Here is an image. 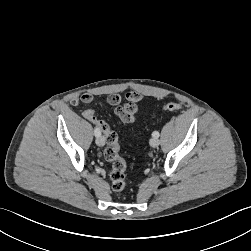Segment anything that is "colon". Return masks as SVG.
Returning a JSON list of instances; mask_svg holds the SVG:
<instances>
[{
	"label": "colon",
	"instance_id": "5ec220e1",
	"mask_svg": "<svg viewBox=\"0 0 251 251\" xmlns=\"http://www.w3.org/2000/svg\"><path fill=\"white\" fill-rule=\"evenodd\" d=\"M182 105L178 102H169L163 106L166 111H176L181 109ZM82 117L94 123L104 134L106 148L104 149V158L111 163L110 180L112 189L116 192H122L126 187L125 173L127 163L120 155V146L117 134L110 129L104 122L99 121L95 114L94 107H88L82 112Z\"/></svg>",
	"mask_w": 251,
	"mask_h": 251
}]
</instances>
